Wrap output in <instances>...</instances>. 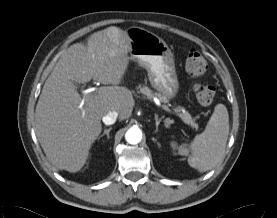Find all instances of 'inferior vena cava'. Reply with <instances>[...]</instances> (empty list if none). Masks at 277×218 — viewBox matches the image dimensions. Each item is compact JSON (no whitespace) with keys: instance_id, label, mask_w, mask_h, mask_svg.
I'll list each match as a JSON object with an SVG mask.
<instances>
[{"instance_id":"1","label":"inferior vena cava","mask_w":277,"mask_h":218,"mask_svg":"<svg viewBox=\"0 0 277 218\" xmlns=\"http://www.w3.org/2000/svg\"><path fill=\"white\" fill-rule=\"evenodd\" d=\"M117 116L118 113L116 111H110L102 118V121L105 125H112L115 123Z\"/></svg>"}]
</instances>
